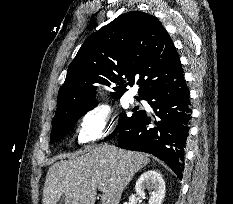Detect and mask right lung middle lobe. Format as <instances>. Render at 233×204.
Listing matches in <instances>:
<instances>
[{
	"mask_svg": "<svg viewBox=\"0 0 233 204\" xmlns=\"http://www.w3.org/2000/svg\"><path fill=\"white\" fill-rule=\"evenodd\" d=\"M138 100H140L139 97H136ZM143 98V97H142ZM90 109L85 110H79L75 113H72L68 115L67 117L52 122V132L50 136V143H53L57 140H59L62 136H64L71 128L72 126L78 121L80 117L85 115ZM136 111V110H135ZM141 111H136L133 113L131 117H127L126 114H121L119 118V125L118 128L108 137L105 139H110L113 137V135L117 132H121L124 129L128 127V125L131 123V121L140 113Z\"/></svg>",
	"mask_w": 233,
	"mask_h": 204,
	"instance_id": "right-lung-middle-lobe-1",
	"label": "right lung middle lobe"
}]
</instances>
